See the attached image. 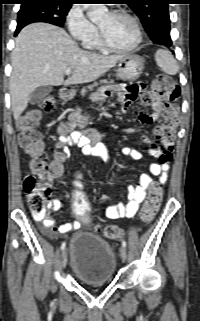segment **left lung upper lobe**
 I'll use <instances>...</instances> for the list:
<instances>
[{
    "label": "left lung upper lobe",
    "mask_w": 200,
    "mask_h": 321,
    "mask_svg": "<svg viewBox=\"0 0 200 321\" xmlns=\"http://www.w3.org/2000/svg\"><path fill=\"white\" fill-rule=\"evenodd\" d=\"M170 0H124L139 17L145 31L155 44L165 45L171 42Z\"/></svg>",
    "instance_id": "5c2ea615"
}]
</instances>
